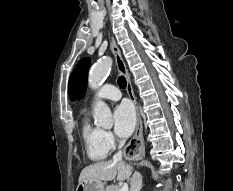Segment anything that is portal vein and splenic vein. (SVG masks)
Wrapping results in <instances>:
<instances>
[{
	"mask_svg": "<svg viewBox=\"0 0 233 191\" xmlns=\"http://www.w3.org/2000/svg\"><path fill=\"white\" fill-rule=\"evenodd\" d=\"M120 191H128V185L124 184V186L120 189Z\"/></svg>",
	"mask_w": 233,
	"mask_h": 191,
	"instance_id": "1",
	"label": "portal vein and splenic vein"
}]
</instances>
